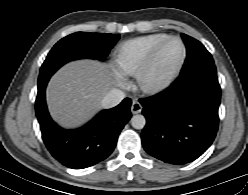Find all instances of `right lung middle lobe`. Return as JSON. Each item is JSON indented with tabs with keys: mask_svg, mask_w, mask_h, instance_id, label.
<instances>
[{
	"mask_svg": "<svg viewBox=\"0 0 248 195\" xmlns=\"http://www.w3.org/2000/svg\"><path fill=\"white\" fill-rule=\"evenodd\" d=\"M120 35L76 32L58 41L46 57L39 74V81L53 75L65 63L91 58L105 60Z\"/></svg>",
	"mask_w": 248,
	"mask_h": 195,
	"instance_id": "1",
	"label": "right lung middle lobe"
}]
</instances>
